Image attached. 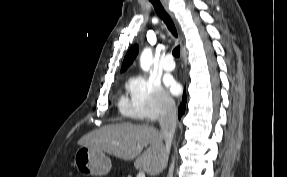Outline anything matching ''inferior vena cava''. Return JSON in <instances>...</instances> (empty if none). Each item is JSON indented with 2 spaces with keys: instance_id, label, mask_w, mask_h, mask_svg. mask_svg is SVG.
Segmentation results:
<instances>
[{
  "instance_id": "602c4592",
  "label": "inferior vena cava",
  "mask_w": 287,
  "mask_h": 177,
  "mask_svg": "<svg viewBox=\"0 0 287 177\" xmlns=\"http://www.w3.org/2000/svg\"><path fill=\"white\" fill-rule=\"evenodd\" d=\"M177 122V108L174 100L166 98L160 111V134L165 142L163 147V163L166 165L170 153Z\"/></svg>"
}]
</instances>
